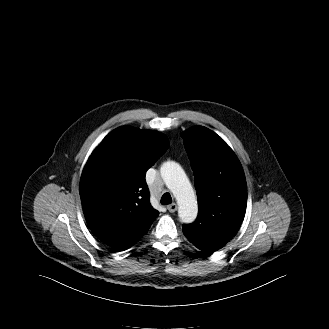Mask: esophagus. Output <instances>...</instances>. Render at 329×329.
I'll return each mask as SVG.
<instances>
[{"label": "esophagus", "instance_id": "1", "mask_svg": "<svg viewBox=\"0 0 329 329\" xmlns=\"http://www.w3.org/2000/svg\"><path fill=\"white\" fill-rule=\"evenodd\" d=\"M178 206L177 204L173 203L167 206V209L169 212L174 213L177 210Z\"/></svg>", "mask_w": 329, "mask_h": 329}]
</instances>
